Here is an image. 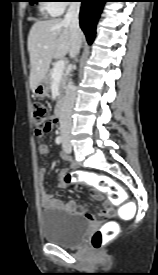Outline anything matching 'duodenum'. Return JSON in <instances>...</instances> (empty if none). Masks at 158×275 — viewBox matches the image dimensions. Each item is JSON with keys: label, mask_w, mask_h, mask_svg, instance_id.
Returning a JSON list of instances; mask_svg holds the SVG:
<instances>
[{"label": "duodenum", "mask_w": 158, "mask_h": 275, "mask_svg": "<svg viewBox=\"0 0 158 275\" xmlns=\"http://www.w3.org/2000/svg\"><path fill=\"white\" fill-rule=\"evenodd\" d=\"M63 113H64V100L61 98L59 101H58V104H57V107H56V117L58 119H60L62 116H63Z\"/></svg>", "instance_id": "1"}]
</instances>
